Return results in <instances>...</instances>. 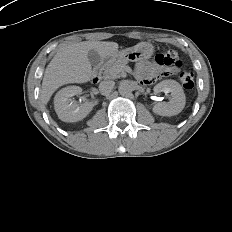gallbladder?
<instances>
[{"label":"gallbladder","instance_id":"obj_1","mask_svg":"<svg viewBox=\"0 0 232 232\" xmlns=\"http://www.w3.org/2000/svg\"><path fill=\"white\" fill-rule=\"evenodd\" d=\"M87 57L92 66H98L101 62V56L96 50H90L87 54Z\"/></svg>","mask_w":232,"mask_h":232}]
</instances>
